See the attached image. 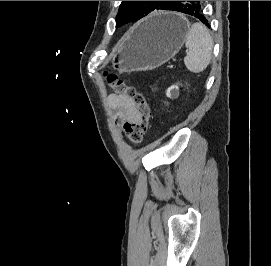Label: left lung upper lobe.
<instances>
[{
  "label": "left lung upper lobe",
  "mask_w": 271,
  "mask_h": 266,
  "mask_svg": "<svg viewBox=\"0 0 271 266\" xmlns=\"http://www.w3.org/2000/svg\"><path fill=\"white\" fill-rule=\"evenodd\" d=\"M175 1H122L116 17V27L135 22L154 10H168Z\"/></svg>",
  "instance_id": "5c2ea615"
}]
</instances>
